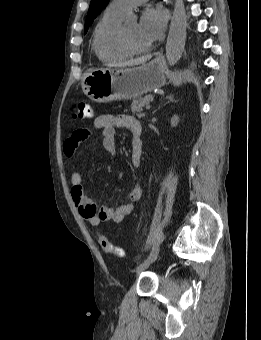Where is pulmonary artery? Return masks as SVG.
Segmentation results:
<instances>
[{
  "label": "pulmonary artery",
  "instance_id": "e3ab8cb5",
  "mask_svg": "<svg viewBox=\"0 0 261 340\" xmlns=\"http://www.w3.org/2000/svg\"><path fill=\"white\" fill-rule=\"evenodd\" d=\"M147 0H112L109 6L122 13H126L131 7L140 5Z\"/></svg>",
  "mask_w": 261,
  "mask_h": 340
}]
</instances>
